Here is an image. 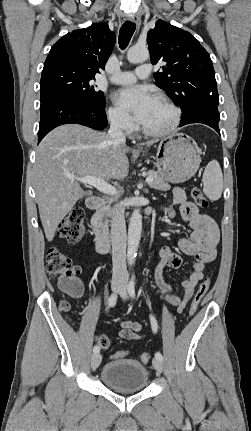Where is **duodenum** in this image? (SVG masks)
Segmentation results:
<instances>
[{
  "label": "duodenum",
  "instance_id": "obj_1",
  "mask_svg": "<svg viewBox=\"0 0 251 431\" xmlns=\"http://www.w3.org/2000/svg\"><path fill=\"white\" fill-rule=\"evenodd\" d=\"M87 206L93 211L90 225L94 235L96 251L105 254L110 250V237L103 224L102 210L105 206V200L102 197L93 196L88 199Z\"/></svg>",
  "mask_w": 251,
  "mask_h": 431
}]
</instances>
